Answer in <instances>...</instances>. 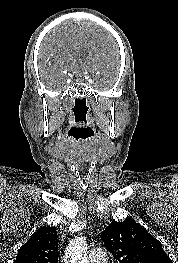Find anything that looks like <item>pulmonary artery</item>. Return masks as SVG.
<instances>
[{"label": "pulmonary artery", "mask_w": 178, "mask_h": 263, "mask_svg": "<svg viewBox=\"0 0 178 263\" xmlns=\"http://www.w3.org/2000/svg\"><path fill=\"white\" fill-rule=\"evenodd\" d=\"M89 263H107V255L99 248L91 249L89 252Z\"/></svg>", "instance_id": "obj_1"}]
</instances>
